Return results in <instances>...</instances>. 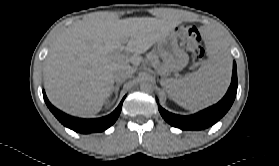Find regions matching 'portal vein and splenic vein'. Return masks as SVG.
<instances>
[{"instance_id": "obj_1", "label": "portal vein and splenic vein", "mask_w": 279, "mask_h": 166, "mask_svg": "<svg viewBox=\"0 0 279 166\" xmlns=\"http://www.w3.org/2000/svg\"><path fill=\"white\" fill-rule=\"evenodd\" d=\"M112 58L116 60H122L125 59V56H123L120 51H116L113 53Z\"/></svg>"}]
</instances>
